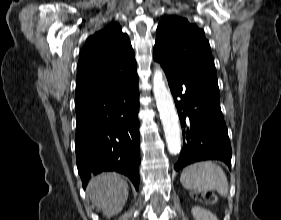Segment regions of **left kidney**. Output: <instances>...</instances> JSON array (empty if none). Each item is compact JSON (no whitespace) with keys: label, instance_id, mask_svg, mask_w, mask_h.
<instances>
[{"label":"left kidney","instance_id":"1","mask_svg":"<svg viewBox=\"0 0 281 220\" xmlns=\"http://www.w3.org/2000/svg\"><path fill=\"white\" fill-rule=\"evenodd\" d=\"M191 213L195 220H218L212 212L199 206L192 207Z\"/></svg>","mask_w":281,"mask_h":220}]
</instances>
